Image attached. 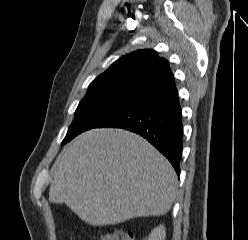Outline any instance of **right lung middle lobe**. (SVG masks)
Masks as SVG:
<instances>
[{"label":"right lung middle lobe","mask_w":248,"mask_h":240,"mask_svg":"<svg viewBox=\"0 0 248 240\" xmlns=\"http://www.w3.org/2000/svg\"><path fill=\"white\" fill-rule=\"evenodd\" d=\"M137 100L135 97L111 90H88L75 111L74 120L62 144L69 142L79 133L92 128L104 117Z\"/></svg>","instance_id":"dd1d6c3e"}]
</instances>
